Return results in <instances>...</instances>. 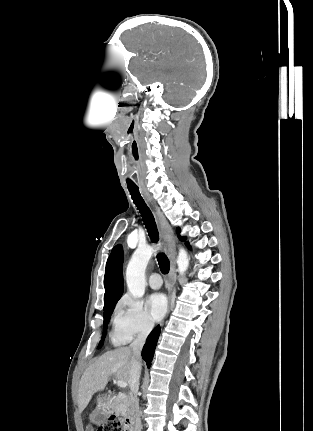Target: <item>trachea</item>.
I'll return each mask as SVG.
<instances>
[{"label":"trachea","mask_w":313,"mask_h":431,"mask_svg":"<svg viewBox=\"0 0 313 431\" xmlns=\"http://www.w3.org/2000/svg\"><path fill=\"white\" fill-rule=\"evenodd\" d=\"M128 190L130 192V195L133 199L134 204L136 205V207L138 208L141 214L142 220L147 229L149 237L151 238L152 242L157 243L159 240V233L157 230L156 222L152 212L150 211L144 199L140 195L139 188L128 186ZM157 261L161 269V272L163 274H167L170 268V263L167 256L162 252L158 253Z\"/></svg>","instance_id":"trachea-1"}]
</instances>
